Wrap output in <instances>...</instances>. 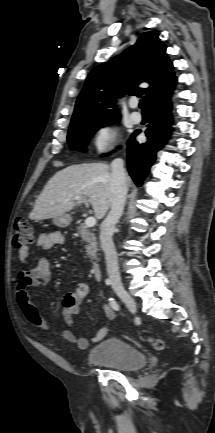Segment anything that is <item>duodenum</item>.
I'll list each match as a JSON object with an SVG mask.
<instances>
[{
    "label": "duodenum",
    "mask_w": 215,
    "mask_h": 433,
    "mask_svg": "<svg viewBox=\"0 0 215 433\" xmlns=\"http://www.w3.org/2000/svg\"><path fill=\"white\" fill-rule=\"evenodd\" d=\"M92 271H93V275H94L95 280L101 281L102 269H101V265L98 262H94L92 264Z\"/></svg>",
    "instance_id": "duodenum-1"
}]
</instances>
